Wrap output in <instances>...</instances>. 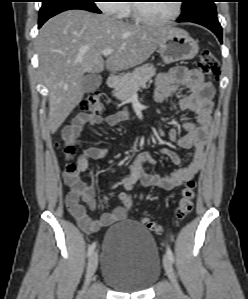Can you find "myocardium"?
<instances>
[{"label":"myocardium","mask_w":248,"mask_h":299,"mask_svg":"<svg viewBox=\"0 0 248 299\" xmlns=\"http://www.w3.org/2000/svg\"><path fill=\"white\" fill-rule=\"evenodd\" d=\"M175 3V9L173 14H171L168 17H164V18H154L151 16H148L147 14H145L143 12V10L141 9V4L140 3H134L133 4V13L136 17V19L142 23H146V24H165V23H169L175 19H177L182 11V3L180 0H174Z\"/></svg>","instance_id":"myocardium-1"}]
</instances>
